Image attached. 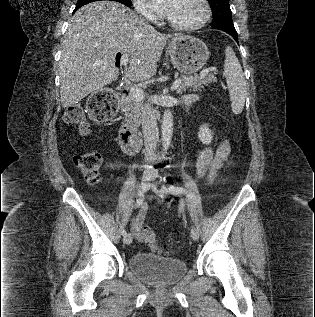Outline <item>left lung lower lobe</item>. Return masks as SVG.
<instances>
[{
  "instance_id": "obj_1",
  "label": "left lung lower lobe",
  "mask_w": 315,
  "mask_h": 317,
  "mask_svg": "<svg viewBox=\"0 0 315 317\" xmlns=\"http://www.w3.org/2000/svg\"><path fill=\"white\" fill-rule=\"evenodd\" d=\"M213 28H215V27H213ZM216 29L222 30V31L230 34L235 39V41L238 43V37H237V32H236L235 28H216Z\"/></svg>"
}]
</instances>
